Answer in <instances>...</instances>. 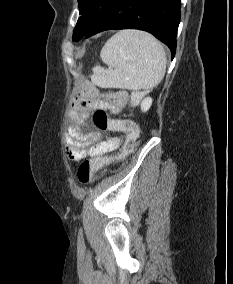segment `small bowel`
I'll use <instances>...</instances> for the list:
<instances>
[{
  "mask_svg": "<svg viewBox=\"0 0 233 284\" xmlns=\"http://www.w3.org/2000/svg\"><path fill=\"white\" fill-rule=\"evenodd\" d=\"M127 101L128 94L125 91H103L92 84H84L77 89L72 100L66 145V154L71 162L88 156H104L120 146L121 140L117 136L101 140L99 132L83 133V128L93 110L104 109L118 113L126 106ZM123 122L136 125L127 120Z\"/></svg>",
  "mask_w": 233,
  "mask_h": 284,
  "instance_id": "small-bowel-1",
  "label": "small bowel"
}]
</instances>
